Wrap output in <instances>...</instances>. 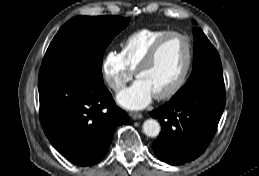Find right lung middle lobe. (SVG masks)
I'll return each mask as SVG.
<instances>
[{"mask_svg":"<svg viewBox=\"0 0 259 176\" xmlns=\"http://www.w3.org/2000/svg\"><path fill=\"white\" fill-rule=\"evenodd\" d=\"M129 19L117 16H77L68 21L50 43L39 79L63 73L79 74L103 82L104 51Z\"/></svg>","mask_w":259,"mask_h":176,"instance_id":"dd1d6c3e","label":"right lung middle lobe"}]
</instances>
